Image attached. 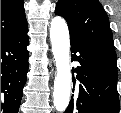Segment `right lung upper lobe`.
Here are the masks:
<instances>
[{
	"label": "right lung upper lobe",
	"instance_id": "right-lung-upper-lobe-1",
	"mask_svg": "<svg viewBox=\"0 0 121 113\" xmlns=\"http://www.w3.org/2000/svg\"><path fill=\"white\" fill-rule=\"evenodd\" d=\"M27 28L23 0H1V40Z\"/></svg>",
	"mask_w": 121,
	"mask_h": 113
}]
</instances>
